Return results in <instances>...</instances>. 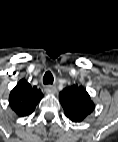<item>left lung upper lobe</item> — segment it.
<instances>
[{"label": "left lung upper lobe", "instance_id": "obj_1", "mask_svg": "<svg viewBox=\"0 0 118 142\" xmlns=\"http://www.w3.org/2000/svg\"><path fill=\"white\" fill-rule=\"evenodd\" d=\"M60 103L65 115L73 122L83 121L95 108L83 86L73 85L59 94Z\"/></svg>", "mask_w": 118, "mask_h": 142}]
</instances>
